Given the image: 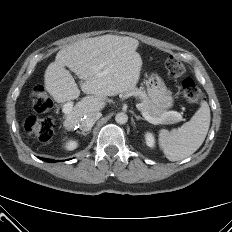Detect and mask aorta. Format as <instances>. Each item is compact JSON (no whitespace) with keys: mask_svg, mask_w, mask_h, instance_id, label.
<instances>
[{"mask_svg":"<svg viewBox=\"0 0 232 232\" xmlns=\"http://www.w3.org/2000/svg\"><path fill=\"white\" fill-rule=\"evenodd\" d=\"M115 121L118 124H125L128 121V116L124 112H119L115 116Z\"/></svg>","mask_w":232,"mask_h":232,"instance_id":"aorta-1","label":"aorta"}]
</instances>
